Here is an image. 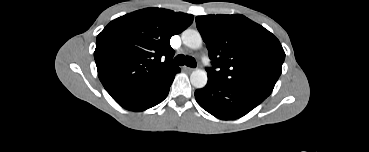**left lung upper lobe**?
Here are the masks:
<instances>
[{
    "label": "left lung upper lobe",
    "instance_id": "obj_1",
    "mask_svg": "<svg viewBox=\"0 0 369 152\" xmlns=\"http://www.w3.org/2000/svg\"><path fill=\"white\" fill-rule=\"evenodd\" d=\"M214 69L208 75L221 82L270 95L285 52L279 40L261 25L240 14L196 17Z\"/></svg>",
    "mask_w": 369,
    "mask_h": 152
}]
</instances>
